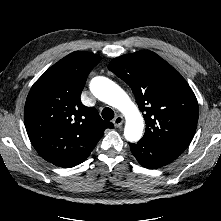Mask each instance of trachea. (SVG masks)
Returning <instances> with one entry per match:
<instances>
[{"instance_id":"trachea-1","label":"trachea","mask_w":221,"mask_h":221,"mask_svg":"<svg viewBox=\"0 0 221 221\" xmlns=\"http://www.w3.org/2000/svg\"><path fill=\"white\" fill-rule=\"evenodd\" d=\"M102 117L104 120H112L114 118V111L106 107L102 110Z\"/></svg>"}]
</instances>
